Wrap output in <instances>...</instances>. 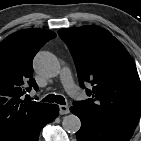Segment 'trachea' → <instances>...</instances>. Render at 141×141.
I'll return each instance as SVG.
<instances>
[{
    "instance_id": "3493384b",
    "label": "trachea",
    "mask_w": 141,
    "mask_h": 141,
    "mask_svg": "<svg viewBox=\"0 0 141 141\" xmlns=\"http://www.w3.org/2000/svg\"><path fill=\"white\" fill-rule=\"evenodd\" d=\"M43 102H56L61 105H65V99L63 96L49 94L45 98H43Z\"/></svg>"
}]
</instances>
